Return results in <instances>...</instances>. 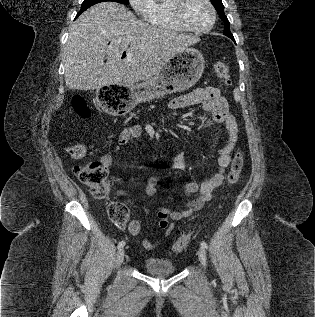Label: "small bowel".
<instances>
[{"instance_id":"obj_1","label":"small bowel","mask_w":315,"mask_h":317,"mask_svg":"<svg viewBox=\"0 0 315 317\" xmlns=\"http://www.w3.org/2000/svg\"><path fill=\"white\" fill-rule=\"evenodd\" d=\"M196 104L202 105L204 111L208 113L211 123L225 125L227 138L225 145L218 152V171L201 184L188 182L185 185V193L190 196L191 199L185 204L183 210H173L162 205L157 206L158 228L164 231L165 237H168L174 230L175 221L190 217L212 199L214 191L218 189L224 181L225 170L231 162V152L234 150L238 141L237 121L230 112L226 99L220 94V91L216 87L197 89L183 95L173 100L170 103V108L182 109ZM142 131L143 128L141 125H133L126 128L120 134L113 152L106 153L101 157V164L109 168L114 162L113 153L118 152L122 146L132 139L139 137ZM173 168L181 171L186 169L184 152L181 151L175 155ZM157 191L158 178L151 177L146 184L145 192L148 196H155ZM128 231L132 236H138L141 231L140 221L136 218L132 219L129 223ZM141 243L147 250H151L159 244V242H153L148 238L143 239Z\"/></svg>"}]
</instances>
